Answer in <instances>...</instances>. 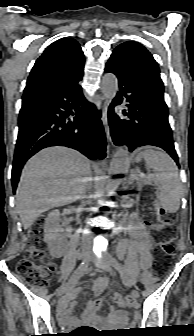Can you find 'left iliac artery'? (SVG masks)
I'll use <instances>...</instances> for the list:
<instances>
[{
	"label": "left iliac artery",
	"mask_w": 194,
	"mask_h": 336,
	"mask_svg": "<svg viewBox=\"0 0 194 336\" xmlns=\"http://www.w3.org/2000/svg\"><path fill=\"white\" fill-rule=\"evenodd\" d=\"M117 269L119 270L120 274H121V277L123 279V282L129 286L132 285V282L131 280L127 277V275L125 274V272L122 270V268L118 265L117 266Z\"/></svg>",
	"instance_id": "44dca946"
}]
</instances>
